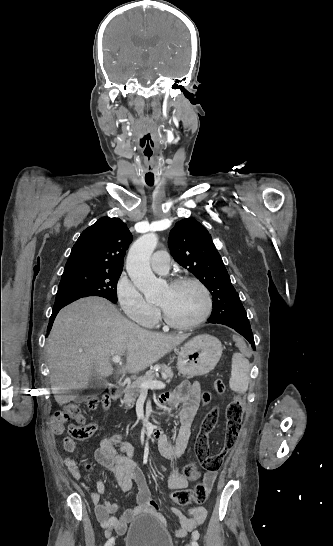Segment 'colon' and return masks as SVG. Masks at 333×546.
<instances>
[{"label":"colon","instance_id":"colon-1","mask_svg":"<svg viewBox=\"0 0 333 546\" xmlns=\"http://www.w3.org/2000/svg\"><path fill=\"white\" fill-rule=\"evenodd\" d=\"M213 391L216 394H222L225 392V383L216 379L213 382ZM201 400L204 404H208L211 401V393L206 391L202 394ZM243 395L237 394L236 399L231 401L225 412L226 417V428L224 435L223 447L220 451L216 453H211L209 450V434L215 428L218 422V412L216 409L208 411L206 414L199 435L195 441V454L200 465L208 472L218 471L226 458V455L231 451L238 439L243 413L244 406L242 403ZM111 403V399L107 394H104L101 399L98 397L92 396L89 397L86 401V406L89 409H95L99 404L103 408H108ZM81 414L79 408L70 404L65 407V414L55 413L52 418L53 429L56 433H62L65 430V421L67 416H78ZM70 424L67 427V431L71 437L77 440H85L90 438L97 429V424L94 422L84 424ZM198 468L194 463H189L185 465L183 469V474L186 477H192L198 473ZM208 490L203 483H198L193 489H180L171 494V499L182 506L189 505L193 502L203 503L208 498Z\"/></svg>","mask_w":333,"mask_h":546}]
</instances>
